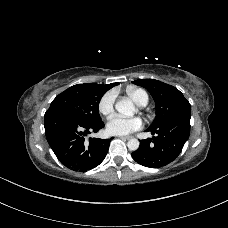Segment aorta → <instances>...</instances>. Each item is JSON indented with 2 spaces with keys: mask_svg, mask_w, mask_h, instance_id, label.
<instances>
[{
  "mask_svg": "<svg viewBox=\"0 0 228 228\" xmlns=\"http://www.w3.org/2000/svg\"><path fill=\"white\" fill-rule=\"evenodd\" d=\"M116 110L124 116H133L135 113V107L129 99H123L116 103ZM139 141L135 138L130 139L127 143V146L130 150L135 151L139 148Z\"/></svg>",
  "mask_w": 228,
  "mask_h": 228,
  "instance_id": "obj_1",
  "label": "aorta"
}]
</instances>
